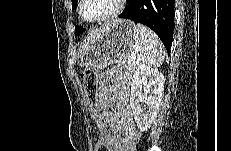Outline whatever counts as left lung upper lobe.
I'll use <instances>...</instances> for the list:
<instances>
[{
  "instance_id": "5c2ea615",
  "label": "left lung upper lobe",
  "mask_w": 231,
  "mask_h": 151,
  "mask_svg": "<svg viewBox=\"0 0 231 151\" xmlns=\"http://www.w3.org/2000/svg\"><path fill=\"white\" fill-rule=\"evenodd\" d=\"M72 1V10L76 9V6H77V1L78 0H71ZM136 0H127L128 2V5L127 7H130L133 5V3L135 2ZM85 29L82 28V27H79L78 25L75 27V35H79L80 33H82Z\"/></svg>"
}]
</instances>
